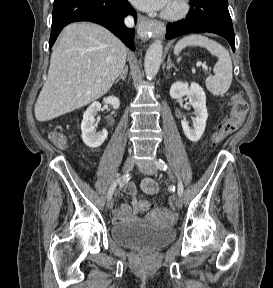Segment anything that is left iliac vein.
I'll return each mask as SVG.
<instances>
[{
  "instance_id": "left-iliac-vein-1",
  "label": "left iliac vein",
  "mask_w": 273,
  "mask_h": 288,
  "mask_svg": "<svg viewBox=\"0 0 273 288\" xmlns=\"http://www.w3.org/2000/svg\"><path fill=\"white\" fill-rule=\"evenodd\" d=\"M139 170L147 175H156L157 174V168L155 165L150 164V165H145V166H140ZM175 205L178 209H180L183 205L182 199L180 197H177L175 200Z\"/></svg>"
}]
</instances>
